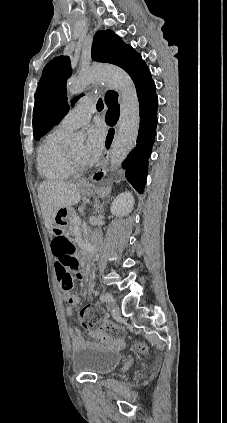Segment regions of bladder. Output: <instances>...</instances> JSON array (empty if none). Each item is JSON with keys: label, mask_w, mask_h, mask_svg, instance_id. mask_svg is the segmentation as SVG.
Returning <instances> with one entry per match:
<instances>
[{"label": "bladder", "mask_w": 227, "mask_h": 423, "mask_svg": "<svg viewBox=\"0 0 227 423\" xmlns=\"http://www.w3.org/2000/svg\"><path fill=\"white\" fill-rule=\"evenodd\" d=\"M123 356L112 349H103L92 343L85 345L72 356V369L103 378L122 364Z\"/></svg>", "instance_id": "1"}]
</instances>
